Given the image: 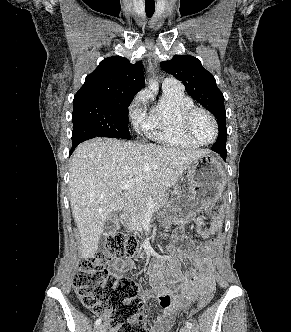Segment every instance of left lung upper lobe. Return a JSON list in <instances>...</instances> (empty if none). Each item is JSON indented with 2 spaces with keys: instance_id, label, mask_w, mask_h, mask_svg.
I'll return each mask as SVG.
<instances>
[{
  "instance_id": "1",
  "label": "left lung upper lobe",
  "mask_w": 291,
  "mask_h": 332,
  "mask_svg": "<svg viewBox=\"0 0 291 332\" xmlns=\"http://www.w3.org/2000/svg\"><path fill=\"white\" fill-rule=\"evenodd\" d=\"M161 67L182 81L187 93L215 116L219 135L214 145L226 146L224 96L218 89L214 76L201 65L199 59L190 55H175L171 60L163 61Z\"/></svg>"
}]
</instances>
